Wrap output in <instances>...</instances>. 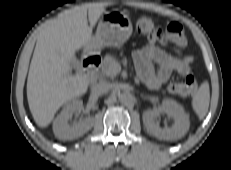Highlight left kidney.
<instances>
[{"mask_svg": "<svg viewBox=\"0 0 231 170\" xmlns=\"http://www.w3.org/2000/svg\"><path fill=\"white\" fill-rule=\"evenodd\" d=\"M161 113H165L174 120L171 127L160 128L156 120ZM143 123L147 131L161 140H177L183 137L189 130V116L183 107L172 99H165L157 109H149L143 113Z\"/></svg>", "mask_w": 231, "mask_h": 170, "instance_id": "obj_1", "label": "left kidney"}]
</instances>
